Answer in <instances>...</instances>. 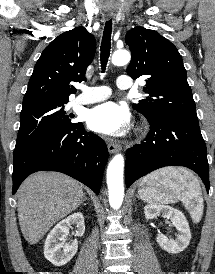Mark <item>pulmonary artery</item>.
Listing matches in <instances>:
<instances>
[{
	"label": "pulmonary artery",
	"instance_id": "1",
	"mask_svg": "<svg viewBox=\"0 0 215 274\" xmlns=\"http://www.w3.org/2000/svg\"><path fill=\"white\" fill-rule=\"evenodd\" d=\"M119 89L126 90L132 87V80L127 75H120L117 78ZM82 93L74 100L75 104H92L103 101L111 95V90L107 86L81 87Z\"/></svg>",
	"mask_w": 215,
	"mask_h": 274
}]
</instances>
